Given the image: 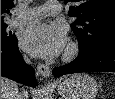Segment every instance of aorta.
<instances>
[{"instance_id": "1", "label": "aorta", "mask_w": 115, "mask_h": 99, "mask_svg": "<svg viewBox=\"0 0 115 99\" xmlns=\"http://www.w3.org/2000/svg\"><path fill=\"white\" fill-rule=\"evenodd\" d=\"M47 96H48L47 90H46V88L43 87L39 91V99H47Z\"/></svg>"}]
</instances>
